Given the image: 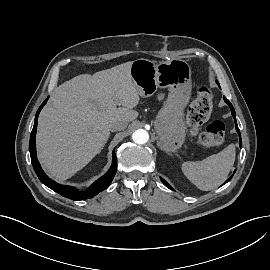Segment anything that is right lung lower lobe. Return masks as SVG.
<instances>
[{"mask_svg":"<svg viewBox=\"0 0 270 270\" xmlns=\"http://www.w3.org/2000/svg\"><path fill=\"white\" fill-rule=\"evenodd\" d=\"M47 99L42 103V105L39 107L36 116H35V122L33 126V130L31 132L30 136V143H29V150H30V156H31V162L33 165V168L40 179V181L45 184L47 187L51 188L52 190L58 192L64 197H67L72 200H85L88 198H92L95 195H97L99 192L105 190L112 182L116 170H117V158L115 155V151L113 150L112 156V165L108 172L99 178L87 191L80 192L74 187L68 186V185H60L53 180H51L42 170L40 167V164L36 157V143H35V136L37 131V122H38V115L43 108V106L46 104Z\"/></svg>","mask_w":270,"mask_h":270,"instance_id":"right-lung-lower-lobe-1","label":"right lung lower lobe"}]
</instances>
